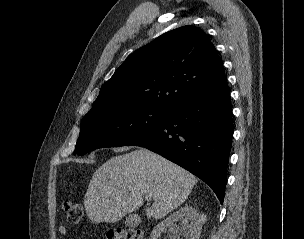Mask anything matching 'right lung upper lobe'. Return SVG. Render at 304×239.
Returning a JSON list of instances; mask_svg holds the SVG:
<instances>
[{"label": "right lung upper lobe", "mask_w": 304, "mask_h": 239, "mask_svg": "<svg viewBox=\"0 0 304 239\" xmlns=\"http://www.w3.org/2000/svg\"><path fill=\"white\" fill-rule=\"evenodd\" d=\"M223 78L222 61L205 33L195 26H183L132 53L102 85L85 117L138 106L169 111L212 89Z\"/></svg>", "instance_id": "right-lung-upper-lobe-1"}]
</instances>
